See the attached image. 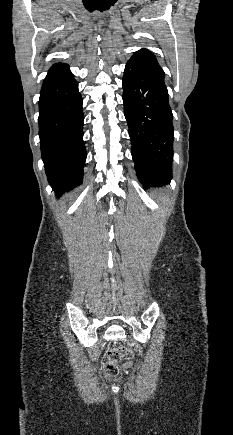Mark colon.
<instances>
[{
	"instance_id": "1",
	"label": "colon",
	"mask_w": 233,
	"mask_h": 435,
	"mask_svg": "<svg viewBox=\"0 0 233 435\" xmlns=\"http://www.w3.org/2000/svg\"><path fill=\"white\" fill-rule=\"evenodd\" d=\"M132 358V351L125 346H116L108 353L107 362L104 365V373L107 378L114 379L119 374L118 363Z\"/></svg>"
}]
</instances>
